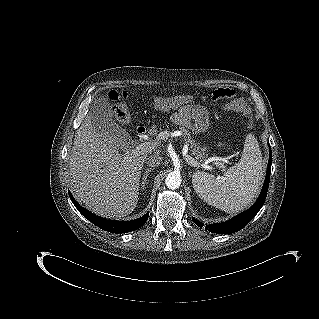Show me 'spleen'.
I'll list each match as a JSON object with an SVG mask.
<instances>
[{
  "instance_id": "obj_1",
  "label": "spleen",
  "mask_w": 319,
  "mask_h": 319,
  "mask_svg": "<svg viewBox=\"0 0 319 319\" xmlns=\"http://www.w3.org/2000/svg\"><path fill=\"white\" fill-rule=\"evenodd\" d=\"M263 175L258 141L254 135L248 134L238 163L221 177L196 172L192 176V183L197 195L206 203L227 213H235L248 206L256 197Z\"/></svg>"
}]
</instances>
